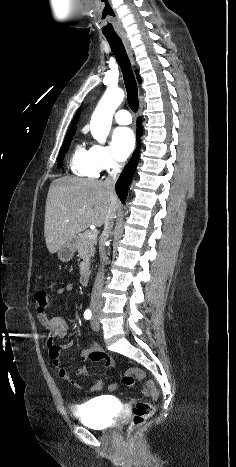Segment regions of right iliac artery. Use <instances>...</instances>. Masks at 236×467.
<instances>
[{"label":"right iliac artery","instance_id":"obj_1","mask_svg":"<svg viewBox=\"0 0 236 467\" xmlns=\"http://www.w3.org/2000/svg\"><path fill=\"white\" fill-rule=\"evenodd\" d=\"M91 317H92V312H91L90 309H87V310L84 312V318H85L86 320H89V319H91Z\"/></svg>","mask_w":236,"mask_h":467}]
</instances>
